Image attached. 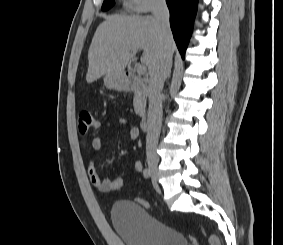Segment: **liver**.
Wrapping results in <instances>:
<instances>
[{
	"mask_svg": "<svg viewBox=\"0 0 283 245\" xmlns=\"http://www.w3.org/2000/svg\"><path fill=\"white\" fill-rule=\"evenodd\" d=\"M171 54L176 46L168 43ZM143 50L141 62L154 70L164 51L157 21L152 16L112 15L101 23L88 51L86 80L92 83L108 73H123L129 60Z\"/></svg>",
	"mask_w": 283,
	"mask_h": 245,
	"instance_id": "liver-1",
	"label": "liver"
}]
</instances>
